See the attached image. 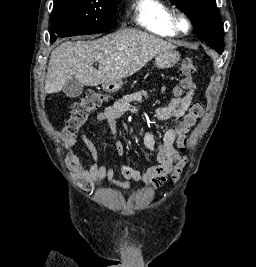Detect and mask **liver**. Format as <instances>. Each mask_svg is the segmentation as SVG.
Masks as SVG:
<instances>
[{
	"label": "liver",
	"instance_id": "obj_1",
	"mask_svg": "<svg viewBox=\"0 0 256 267\" xmlns=\"http://www.w3.org/2000/svg\"><path fill=\"white\" fill-rule=\"evenodd\" d=\"M176 46L140 30H119L93 42H64L51 52L45 80L46 94L61 92L76 78L85 86L117 82L141 70L154 56ZM99 62V68H93Z\"/></svg>",
	"mask_w": 256,
	"mask_h": 267
}]
</instances>
